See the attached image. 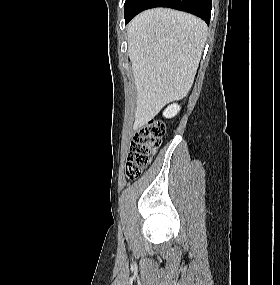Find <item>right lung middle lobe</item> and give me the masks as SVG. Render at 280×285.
Returning a JSON list of instances; mask_svg holds the SVG:
<instances>
[{"label": "right lung middle lobe", "instance_id": "1", "mask_svg": "<svg viewBox=\"0 0 280 285\" xmlns=\"http://www.w3.org/2000/svg\"><path fill=\"white\" fill-rule=\"evenodd\" d=\"M138 2H139V0H126V2L124 4V9H125V16L124 17L129 16L134 11Z\"/></svg>", "mask_w": 280, "mask_h": 285}]
</instances>
